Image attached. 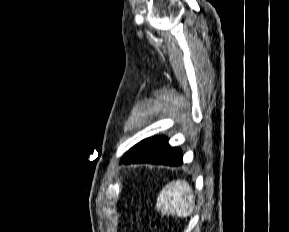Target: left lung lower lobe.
<instances>
[{
	"label": "left lung lower lobe",
	"mask_w": 289,
	"mask_h": 232,
	"mask_svg": "<svg viewBox=\"0 0 289 232\" xmlns=\"http://www.w3.org/2000/svg\"><path fill=\"white\" fill-rule=\"evenodd\" d=\"M152 163L178 166L183 163L179 148L171 147L165 137H156L142 145L135 153L121 163Z\"/></svg>",
	"instance_id": "obj_1"
}]
</instances>
